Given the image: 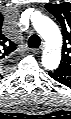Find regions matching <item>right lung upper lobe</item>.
<instances>
[{
    "label": "right lung upper lobe",
    "instance_id": "right-lung-upper-lobe-1",
    "mask_svg": "<svg viewBox=\"0 0 71 119\" xmlns=\"http://www.w3.org/2000/svg\"><path fill=\"white\" fill-rule=\"evenodd\" d=\"M0 42L2 44L1 49H3L4 56H9L12 52H14L17 48V45L11 41L10 39L6 38L5 36L1 35Z\"/></svg>",
    "mask_w": 71,
    "mask_h": 119
}]
</instances>
